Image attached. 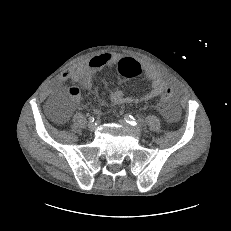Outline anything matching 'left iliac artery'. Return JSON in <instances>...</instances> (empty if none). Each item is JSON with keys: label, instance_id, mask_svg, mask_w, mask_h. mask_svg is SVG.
<instances>
[{"label": "left iliac artery", "instance_id": "44dca946", "mask_svg": "<svg viewBox=\"0 0 231 231\" xmlns=\"http://www.w3.org/2000/svg\"><path fill=\"white\" fill-rule=\"evenodd\" d=\"M125 121L132 126H142L143 123L141 121L136 120L133 116L126 114Z\"/></svg>", "mask_w": 231, "mask_h": 231}]
</instances>
